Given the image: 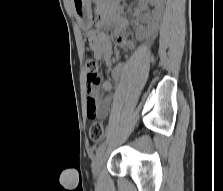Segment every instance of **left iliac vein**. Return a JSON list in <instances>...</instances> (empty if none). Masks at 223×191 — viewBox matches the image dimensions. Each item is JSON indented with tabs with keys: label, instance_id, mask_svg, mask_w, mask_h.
<instances>
[{
	"label": "left iliac vein",
	"instance_id": "1",
	"mask_svg": "<svg viewBox=\"0 0 223 191\" xmlns=\"http://www.w3.org/2000/svg\"><path fill=\"white\" fill-rule=\"evenodd\" d=\"M104 162V153L98 155L92 163V172L94 176H98Z\"/></svg>",
	"mask_w": 223,
	"mask_h": 191
}]
</instances>
